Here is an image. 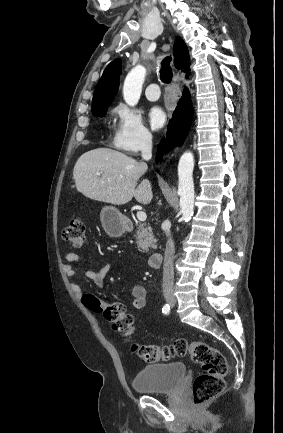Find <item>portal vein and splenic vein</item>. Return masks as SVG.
I'll list each match as a JSON object with an SVG mask.
<instances>
[{
  "label": "portal vein and splenic vein",
  "mask_w": 283,
  "mask_h": 433,
  "mask_svg": "<svg viewBox=\"0 0 283 433\" xmlns=\"http://www.w3.org/2000/svg\"><path fill=\"white\" fill-rule=\"evenodd\" d=\"M96 174H102V172H96ZM119 178H122V176H119ZM137 219H138V221H146V219H147L146 212H143V210H138Z\"/></svg>",
  "instance_id": "portal-vein-and-splenic-vein-1"
}]
</instances>
